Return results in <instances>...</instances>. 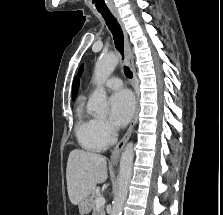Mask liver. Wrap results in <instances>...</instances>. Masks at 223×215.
<instances>
[{"instance_id": "6515ba94", "label": "liver", "mask_w": 223, "mask_h": 215, "mask_svg": "<svg viewBox=\"0 0 223 215\" xmlns=\"http://www.w3.org/2000/svg\"><path fill=\"white\" fill-rule=\"evenodd\" d=\"M66 177L69 199L77 205L93 193L97 183L107 179L106 157L84 149H72L67 161Z\"/></svg>"}]
</instances>
